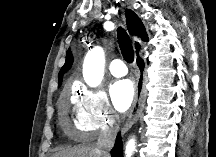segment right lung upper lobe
<instances>
[{
	"instance_id": "1",
	"label": "right lung upper lobe",
	"mask_w": 216,
	"mask_h": 157,
	"mask_svg": "<svg viewBox=\"0 0 216 157\" xmlns=\"http://www.w3.org/2000/svg\"><path fill=\"white\" fill-rule=\"evenodd\" d=\"M125 15H126V20H127L128 31L132 35L139 36L143 41H148V36L145 30V27L142 21L140 20V18L130 9H126ZM72 61H73V57L69 49L66 54L65 64L59 72V85L62 82L63 74L71 67Z\"/></svg>"
}]
</instances>
